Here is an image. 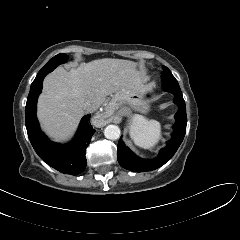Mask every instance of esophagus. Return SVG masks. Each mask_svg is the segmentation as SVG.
<instances>
[{
	"label": "esophagus",
	"instance_id": "esophagus-1",
	"mask_svg": "<svg viewBox=\"0 0 240 240\" xmlns=\"http://www.w3.org/2000/svg\"><path fill=\"white\" fill-rule=\"evenodd\" d=\"M112 115V111L110 108H106L105 111L101 114L100 120L104 121V123H108L110 120H105L106 118L110 117Z\"/></svg>",
	"mask_w": 240,
	"mask_h": 240
}]
</instances>
